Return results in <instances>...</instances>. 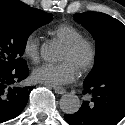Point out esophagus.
<instances>
[{
    "label": "esophagus",
    "instance_id": "34e87169",
    "mask_svg": "<svg viewBox=\"0 0 125 125\" xmlns=\"http://www.w3.org/2000/svg\"><path fill=\"white\" fill-rule=\"evenodd\" d=\"M53 89H54L55 93L60 94V95L66 93V90L64 88L54 87Z\"/></svg>",
    "mask_w": 125,
    "mask_h": 125
}]
</instances>
